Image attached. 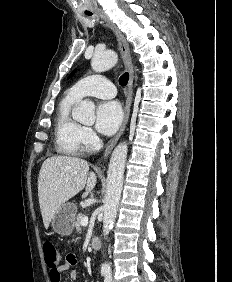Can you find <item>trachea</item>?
<instances>
[{
  "label": "trachea",
  "mask_w": 232,
  "mask_h": 282,
  "mask_svg": "<svg viewBox=\"0 0 232 282\" xmlns=\"http://www.w3.org/2000/svg\"><path fill=\"white\" fill-rule=\"evenodd\" d=\"M87 15H91V13H87ZM128 80H129V74H128V72H126L123 75H121V77L119 78V84L121 86H125V85H127Z\"/></svg>",
  "instance_id": "obj_1"
}]
</instances>
